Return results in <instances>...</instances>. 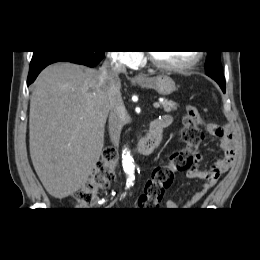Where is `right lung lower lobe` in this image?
I'll list each match as a JSON object with an SVG mask.
<instances>
[{
    "label": "right lung lower lobe",
    "mask_w": 260,
    "mask_h": 260,
    "mask_svg": "<svg viewBox=\"0 0 260 260\" xmlns=\"http://www.w3.org/2000/svg\"><path fill=\"white\" fill-rule=\"evenodd\" d=\"M105 51H52L34 52L29 69L27 85L29 86L38 74L49 64L68 61L89 67L96 66L104 57Z\"/></svg>",
    "instance_id": "1"
}]
</instances>
